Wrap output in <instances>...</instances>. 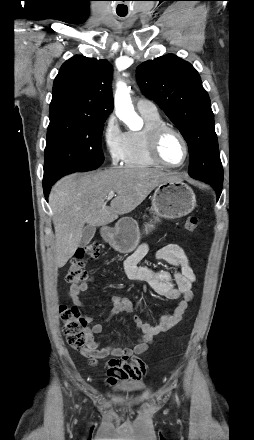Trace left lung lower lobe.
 I'll use <instances>...</instances> for the list:
<instances>
[{
	"label": "left lung lower lobe",
	"mask_w": 254,
	"mask_h": 440,
	"mask_svg": "<svg viewBox=\"0 0 254 440\" xmlns=\"http://www.w3.org/2000/svg\"><path fill=\"white\" fill-rule=\"evenodd\" d=\"M221 190H222V188L219 190V192L217 193V196H218V198H219V196H220V194H221Z\"/></svg>",
	"instance_id": "0a47b994"
}]
</instances>
